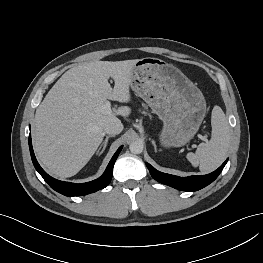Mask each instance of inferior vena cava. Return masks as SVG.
Returning a JSON list of instances; mask_svg holds the SVG:
<instances>
[{"mask_svg": "<svg viewBox=\"0 0 263 263\" xmlns=\"http://www.w3.org/2000/svg\"><path fill=\"white\" fill-rule=\"evenodd\" d=\"M123 130V125L120 122V120L108 123L105 127H104V132L110 135H117L119 133H121Z\"/></svg>", "mask_w": 263, "mask_h": 263, "instance_id": "obj_1", "label": "inferior vena cava"}]
</instances>
